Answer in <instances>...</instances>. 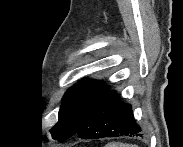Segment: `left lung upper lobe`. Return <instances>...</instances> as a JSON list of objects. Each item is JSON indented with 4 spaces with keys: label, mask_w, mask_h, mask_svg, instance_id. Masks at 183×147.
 Wrapping results in <instances>:
<instances>
[{
    "label": "left lung upper lobe",
    "mask_w": 183,
    "mask_h": 147,
    "mask_svg": "<svg viewBox=\"0 0 183 147\" xmlns=\"http://www.w3.org/2000/svg\"><path fill=\"white\" fill-rule=\"evenodd\" d=\"M108 90L104 83L91 80H85L68 89L63 97L59 120L50 130L53 139L64 141L74 135Z\"/></svg>",
    "instance_id": "5c2ea615"
}]
</instances>
